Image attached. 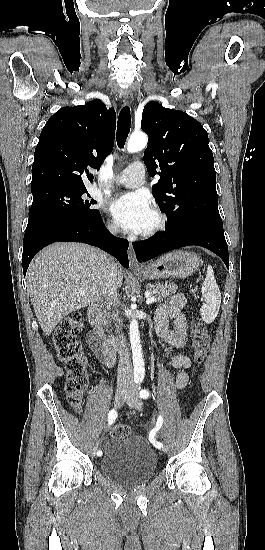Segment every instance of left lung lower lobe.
Returning <instances> with one entry per match:
<instances>
[{
    "label": "left lung lower lobe",
    "mask_w": 265,
    "mask_h": 550,
    "mask_svg": "<svg viewBox=\"0 0 265 550\" xmlns=\"http://www.w3.org/2000/svg\"><path fill=\"white\" fill-rule=\"evenodd\" d=\"M188 245L202 246L211 250L224 261L228 268V246L223 229L204 223L187 222L167 228L152 239L133 243L139 262H145L169 250Z\"/></svg>",
    "instance_id": "left-lung-lower-lobe-1"
}]
</instances>
